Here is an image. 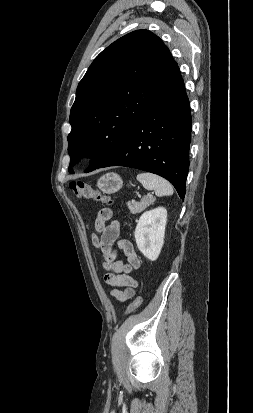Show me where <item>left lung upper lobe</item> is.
<instances>
[{
    "mask_svg": "<svg viewBox=\"0 0 253 413\" xmlns=\"http://www.w3.org/2000/svg\"><path fill=\"white\" fill-rule=\"evenodd\" d=\"M177 63L148 30L133 31L108 46L80 81L70 111L69 172L91 157L85 172L103 165L169 82Z\"/></svg>",
    "mask_w": 253,
    "mask_h": 413,
    "instance_id": "obj_1",
    "label": "left lung upper lobe"
}]
</instances>
